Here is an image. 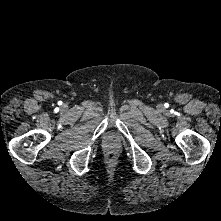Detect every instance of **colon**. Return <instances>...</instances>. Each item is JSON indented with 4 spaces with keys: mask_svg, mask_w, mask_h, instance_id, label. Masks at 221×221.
Masks as SVG:
<instances>
[{
    "mask_svg": "<svg viewBox=\"0 0 221 221\" xmlns=\"http://www.w3.org/2000/svg\"><path fill=\"white\" fill-rule=\"evenodd\" d=\"M107 159L110 163H113L115 160V155L113 153H108L107 154Z\"/></svg>",
    "mask_w": 221,
    "mask_h": 221,
    "instance_id": "obj_1",
    "label": "colon"
}]
</instances>
